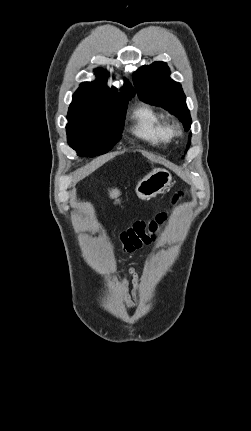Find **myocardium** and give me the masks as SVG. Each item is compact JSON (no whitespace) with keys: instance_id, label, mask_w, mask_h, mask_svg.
<instances>
[{"instance_id":"myocardium-1","label":"myocardium","mask_w":251,"mask_h":431,"mask_svg":"<svg viewBox=\"0 0 251 431\" xmlns=\"http://www.w3.org/2000/svg\"><path fill=\"white\" fill-rule=\"evenodd\" d=\"M172 132L174 135L179 136L182 133L180 125L176 124L172 127Z\"/></svg>"}]
</instances>
